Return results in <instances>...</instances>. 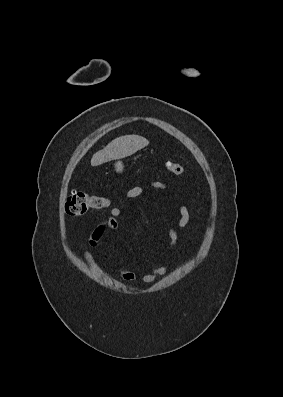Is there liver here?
Instances as JSON below:
<instances>
[{
  "mask_svg": "<svg viewBox=\"0 0 283 397\" xmlns=\"http://www.w3.org/2000/svg\"><path fill=\"white\" fill-rule=\"evenodd\" d=\"M149 141L139 135H125L112 140L104 149L96 152L91 165L98 166L111 160L125 158L146 147Z\"/></svg>",
  "mask_w": 283,
  "mask_h": 397,
  "instance_id": "liver-1",
  "label": "liver"
}]
</instances>
